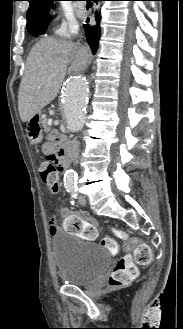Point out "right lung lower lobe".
<instances>
[{
	"mask_svg": "<svg viewBox=\"0 0 183 329\" xmlns=\"http://www.w3.org/2000/svg\"><path fill=\"white\" fill-rule=\"evenodd\" d=\"M94 1H101V0H94ZM95 19L96 24L95 25H89V19L86 20V24L84 25L85 28V35L88 41V44L90 45L93 54L96 53L99 45V40L101 36V27H100V20L101 15L100 12H95Z\"/></svg>",
	"mask_w": 183,
	"mask_h": 329,
	"instance_id": "obj_1",
	"label": "right lung lower lobe"
}]
</instances>
